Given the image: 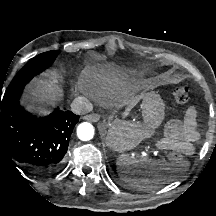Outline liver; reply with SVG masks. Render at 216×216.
I'll return each instance as SVG.
<instances>
[{"label":"liver","mask_w":216,"mask_h":216,"mask_svg":"<svg viewBox=\"0 0 216 216\" xmlns=\"http://www.w3.org/2000/svg\"><path fill=\"white\" fill-rule=\"evenodd\" d=\"M48 76L49 78L47 80H40L37 82L36 87L31 90L30 95L27 98L29 102L28 107L35 109L40 114H46L48 112L46 105L56 104L62 95V91L57 85L56 74L51 72ZM97 76L115 88H122L127 95L125 103L129 108H133L142 98V95L136 94L132 88L118 82L113 77L111 78L107 73L102 72V75L98 74ZM36 104H39V106H36Z\"/></svg>","instance_id":"obj_1"}]
</instances>
